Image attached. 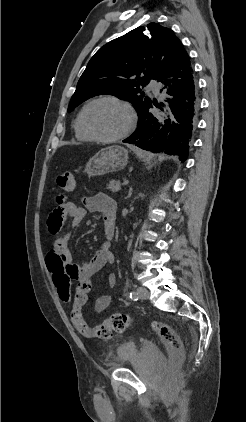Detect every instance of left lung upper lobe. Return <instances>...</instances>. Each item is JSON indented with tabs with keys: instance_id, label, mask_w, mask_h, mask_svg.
<instances>
[{
	"instance_id": "5c2ea615",
	"label": "left lung upper lobe",
	"mask_w": 246,
	"mask_h": 422,
	"mask_svg": "<svg viewBox=\"0 0 246 422\" xmlns=\"http://www.w3.org/2000/svg\"><path fill=\"white\" fill-rule=\"evenodd\" d=\"M181 46L169 28L157 23L110 41L87 64L68 112L93 96L111 94L132 103L140 116L152 102L141 87L151 79L161 80Z\"/></svg>"
}]
</instances>
